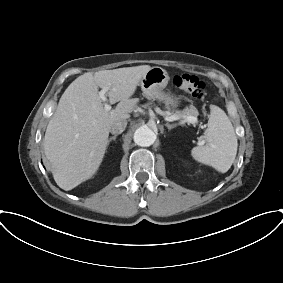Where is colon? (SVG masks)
<instances>
[{"instance_id": "1", "label": "colon", "mask_w": 283, "mask_h": 283, "mask_svg": "<svg viewBox=\"0 0 283 283\" xmlns=\"http://www.w3.org/2000/svg\"><path fill=\"white\" fill-rule=\"evenodd\" d=\"M173 84L195 99H203L206 93L205 83L197 76L191 74H178L173 78Z\"/></svg>"}]
</instances>
